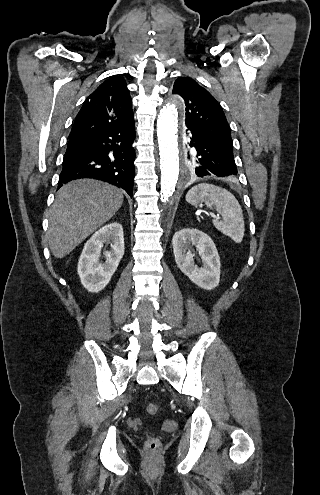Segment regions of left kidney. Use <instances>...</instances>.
<instances>
[{"label":"left kidney","instance_id":"left-kidney-1","mask_svg":"<svg viewBox=\"0 0 320 495\" xmlns=\"http://www.w3.org/2000/svg\"><path fill=\"white\" fill-rule=\"evenodd\" d=\"M175 261L180 270L197 286L212 290L220 281V257L212 239L197 229H182L172 239ZM195 246L202 259V267L194 263Z\"/></svg>","mask_w":320,"mask_h":495}]
</instances>
